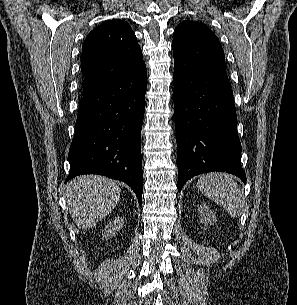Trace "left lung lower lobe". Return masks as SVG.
I'll use <instances>...</instances> for the list:
<instances>
[{
	"label": "left lung lower lobe",
	"mask_w": 297,
	"mask_h": 305,
	"mask_svg": "<svg viewBox=\"0 0 297 305\" xmlns=\"http://www.w3.org/2000/svg\"><path fill=\"white\" fill-rule=\"evenodd\" d=\"M178 190L195 175L221 171L246 183L233 92L226 73L192 74L174 63Z\"/></svg>",
	"instance_id": "obj_1"
}]
</instances>
